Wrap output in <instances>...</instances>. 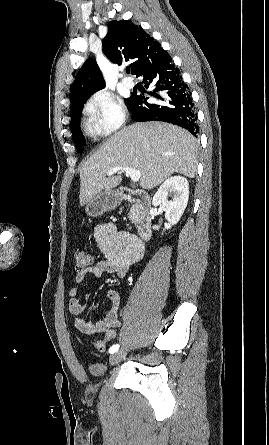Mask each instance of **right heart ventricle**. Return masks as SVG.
Here are the masks:
<instances>
[{
  "label": "right heart ventricle",
  "instance_id": "e07e8e85",
  "mask_svg": "<svg viewBox=\"0 0 269 445\" xmlns=\"http://www.w3.org/2000/svg\"><path fill=\"white\" fill-rule=\"evenodd\" d=\"M84 127L86 133L91 137H95L101 134V131L98 129V127L94 124V122L91 119L85 121Z\"/></svg>",
  "mask_w": 269,
  "mask_h": 445
}]
</instances>
